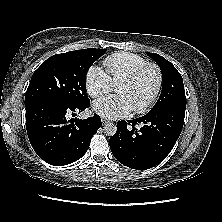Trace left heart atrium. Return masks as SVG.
<instances>
[{
  "label": "left heart atrium",
  "mask_w": 222,
  "mask_h": 222,
  "mask_svg": "<svg viewBox=\"0 0 222 222\" xmlns=\"http://www.w3.org/2000/svg\"><path fill=\"white\" fill-rule=\"evenodd\" d=\"M94 111L106 119H117L128 115L132 107L122 94L109 95L93 103Z\"/></svg>",
  "instance_id": "obj_1"
}]
</instances>
